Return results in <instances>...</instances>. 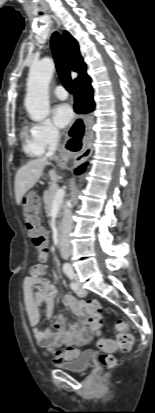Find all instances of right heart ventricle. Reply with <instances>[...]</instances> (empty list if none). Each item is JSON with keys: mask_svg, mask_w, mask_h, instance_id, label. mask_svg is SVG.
<instances>
[{"mask_svg": "<svg viewBox=\"0 0 155 413\" xmlns=\"http://www.w3.org/2000/svg\"><path fill=\"white\" fill-rule=\"evenodd\" d=\"M20 135H21V139H22V149H23L24 153L27 156L37 157V156L42 154L35 147V145L32 141L31 135H30V131L28 130L27 127L24 126L22 128Z\"/></svg>", "mask_w": 155, "mask_h": 413, "instance_id": "1", "label": "right heart ventricle"}]
</instances>
